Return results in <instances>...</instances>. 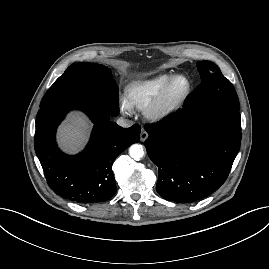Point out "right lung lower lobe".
Instances as JSON below:
<instances>
[{"mask_svg":"<svg viewBox=\"0 0 269 269\" xmlns=\"http://www.w3.org/2000/svg\"><path fill=\"white\" fill-rule=\"evenodd\" d=\"M72 109L84 111L94 123L86 149L74 156L60 151L55 140L58 124ZM113 115L83 103L63 100L49 103L36 117L34 146L49 187L59 196L81 204L104 202L116 192L113 160L139 141L138 124L122 128Z\"/></svg>","mask_w":269,"mask_h":269,"instance_id":"1","label":"right lung lower lobe"}]
</instances>
